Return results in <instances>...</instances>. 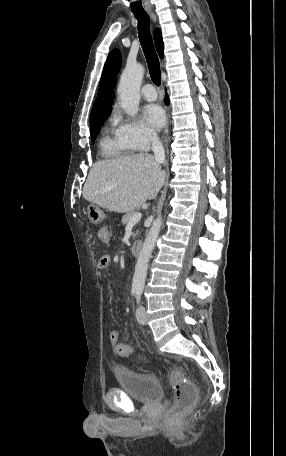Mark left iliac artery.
<instances>
[{
	"mask_svg": "<svg viewBox=\"0 0 286 456\" xmlns=\"http://www.w3.org/2000/svg\"><path fill=\"white\" fill-rule=\"evenodd\" d=\"M136 294H137V296H136L137 302L139 303V302H140V295H141V292H140V291H137Z\"/></svg>",
	"mask_w": 286,
	"mask_h": 456,
	"instance_id": "obj_1",
	"label": "left iliac artery"
}]
</instances>
